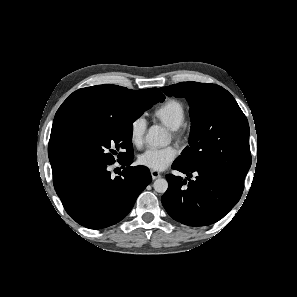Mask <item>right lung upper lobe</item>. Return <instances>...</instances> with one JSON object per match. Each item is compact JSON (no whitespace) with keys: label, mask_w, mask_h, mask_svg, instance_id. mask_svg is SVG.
Wrapping results in <instances>:
<instances>
[{"label":"right lung upper lobe","mask_w":297,"mask_h":297,"mask_svg":"<svg viewBox=\"0 0 297 297\" xmlns=\"http://www.w3.org/2000/svg\"><path fill=\"white\" fill-rule=\"evenodd\" d=\"M150 93L162 101L164 95L158 88L129 90L117 85H97L73 92L59 107L54 117L48 145L53 182L58 183L69 172L60 155L63 133L76 121L96 116L117 115L130 107V102L140 94Z\"/></svg>","instance_id":"cb5924a9"}]
</instances>
